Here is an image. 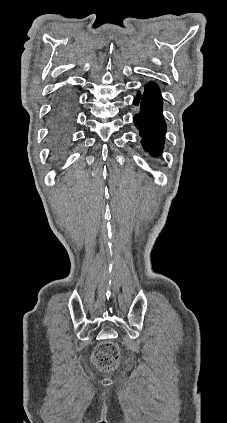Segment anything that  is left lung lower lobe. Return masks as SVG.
Instances as JSON below:
<instances>
[{"label":"left lung lower lobe","mask_w":227,"mask_h":423,"mask_svg":"<svg viewBox=\"0 0 227 423\" xmlns=\"http://www.w3.org/2000/svg\"><path fill=\"white\" fill-rule=\"evenodd\" d=\"M134 104L139 106L134 123L142 138L141 144L150 154L158 156L163 150L166 124L162 115V97L154 84H148L144 93H138Z\"/></svg>","instance_id":"1"}]
</instances>
